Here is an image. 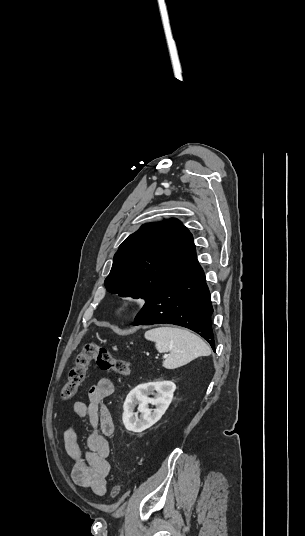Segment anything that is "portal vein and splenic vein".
I'll return each instance as SVG.
<instances>
[{
  "label": "portal vein and splenic vein",
  "instance_id": "18ae733b",
  "mask_svg": "<svg viewBox=\"0 0 305 536\" xmlns=\"http://www.w3.org/2000/svg\"><path fill=\"white\" fill-rule=\"evenodd\" d=\"M163 358H167V356H163Z\"/></svg>",
  "mask_w": 305,
  "mask_h": 536
}]
</instances>
